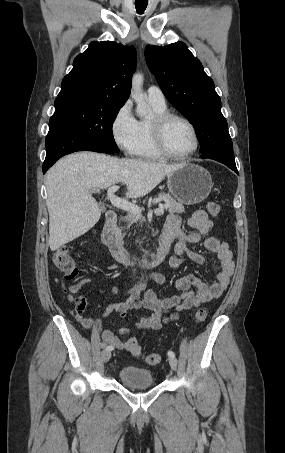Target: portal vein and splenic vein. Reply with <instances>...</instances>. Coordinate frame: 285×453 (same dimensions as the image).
<instances>
[{
	"label": "portal vein and splenic vein",
	"instance_id": "18ae733b",
	"mask_svg": "<svg viewBox=\"0 0 285 453\" xmlns=\"http://www.w3.org/2000/svg\"><path fill=\"white\" fill-rule=\"evenodd\" d=\"M118 188H119L118 186L113 185L107 191V196L109 197L111 204L117 208L130 212L132 214H140L141 208L139 206L132 204L127 200L119 198L118 196L115 195V192L118 190ZM92 192H99V190L94 189L92 190ZM154 213L156 215H162L164 213L163 207L155 209Z\"/></svg>",
	"mask_w": 285,
	"mask_h": 453
}]
</instances>
